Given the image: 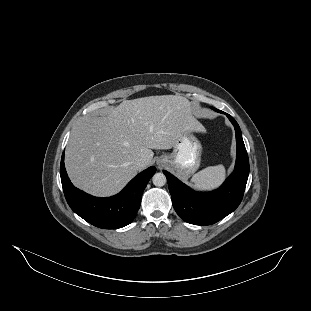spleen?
Instances as JSON below:
<instances>
[{"label":"spleen","instance_id":"spleen-1","mask_svg":"<svg viewBox=\"0 0 311 311\" xmlns=\"http://www.w3.org/2000/svg\"><path fill=\"white\" fill-rule=\"evenodd\" d=\"M224 177L222 165L208 167L192 177L198 188H210L218 184Z\"/></svg>","mask_w":311,"mask_h":311}]
</instances>
